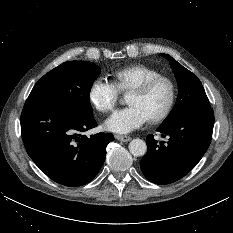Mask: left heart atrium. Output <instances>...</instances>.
<instances>
[{"label": "left heart atrium", "mask_w": 233, "mask_h": 233, "mask_svg": "<svg viewBox=\"0 0 233 233\" xmlns=\"http://www.w3.org/2000/svg\"><path fill=\"white\" fill-rule=\"evenodd\" d=\"M148 117L137 106L129 105L128 107L116 111L105 122V127L109 131L116 133H128L139 128L146 123Z\"/></svg>", "instance_id": "39dd6f15"}]
</instances>
